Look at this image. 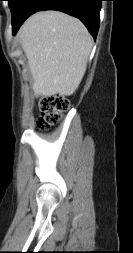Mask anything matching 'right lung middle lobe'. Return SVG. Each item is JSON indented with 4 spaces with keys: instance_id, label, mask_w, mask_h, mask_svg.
I'll use <instances>...</instances> for the list:
<instances>
[{
    "instance_id": "dd1d6c3e",
    "label": "right lung middle lobe",
    "mask_w": 133,
    "mask_h": 253,
    "mask_svg": "<svg viewBox=\"0 0 133 253\" xmlns=\"http://www.w3.org/2000/svg\"><path fill=\"white\" fill-rule=\"evenodd\" d=\"M12 14V26L19 19L20 9L25 0H7Z\"/></svg>"
}]
</instances>
